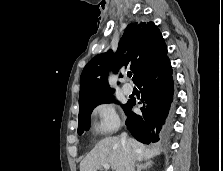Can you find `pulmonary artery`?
Listing matches in <instances>:
<instances>
[{"label":"pulmonary artery","mask_w":223,"mask_h":171,"mask_svg":"<svg viewBox=\"0 0 223 171\" xmlns=\"http://www.w3.org/2000/svg\"><path fill=\"white\" fill-rule=\"evenodd\" d=\"M122 92H123L125 95H130V94L133 93V87H132L130 84L125 83V84L122 86Z\"/></svg>","instance_id":"obj_1"}]
</instances>
